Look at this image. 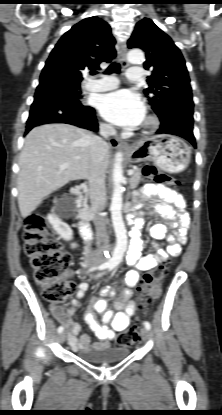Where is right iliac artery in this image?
Segmentation results:
<instances>
[{"mask_svg":"<svg viewBox=\"0 0 222 415\" xmlns=\"http://www.w3.org/2000/svg\"><path fill=\"white\" fill-rule=\"evenodd\" d=\"M107 267H108V266H106V265H101V266H99L98 268H99L100 270H103V269H105V268H107ZM93 269H95V268H92V269H90V270H93ZM63 330H64L63 326H59V327H58V333L63 332Z\"/></svg>","mask_w":222,"mask_h":415,"instance_id":"1","label":"right iliac artery"}]
</instances>
